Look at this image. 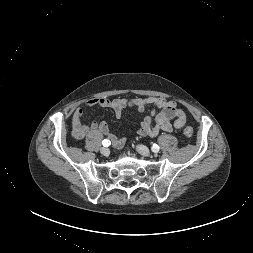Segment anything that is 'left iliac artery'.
<instances>
[{
    "label": "left iliac artery",
    "mask_w": 253,
    "mask_h": 253,
    "mask_svg": "<svg viewBox=\"0 0 253 253\" xmlns=\"http://www.w3.org/2000/svg\"><path fill=\"white\" fill-rule=\"evenodd\" d=\"M151 150L154 152V153H157L159 151V146L157 144H153L152 147H151Z\"/></svg>",
    "instance_id": "44dca946"
}]
</instances>
